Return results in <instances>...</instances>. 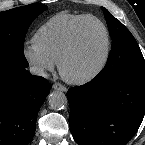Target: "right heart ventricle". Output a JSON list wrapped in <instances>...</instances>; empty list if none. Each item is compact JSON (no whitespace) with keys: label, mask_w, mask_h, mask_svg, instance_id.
<instances>
[{"label":"right heart ventricle","mask_w":145,"mask_h":145,"mask_svg":"<svg viewBox=\"0 0 145 145\" xmlns=\"http://www.w3.org/2000/svg\"><path fill=\"white\" fill-rule=\"evenodd\" d=\"M88 15L61 12L52 16L33 35V45L58 63L70 42L74 27Z\"/></svg>","instance_id":"e07e8e85"}]
</instances>
